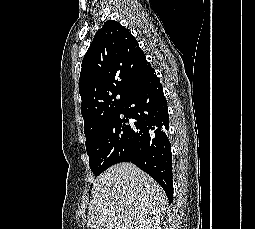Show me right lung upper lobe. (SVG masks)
Wrapping results in <instances>:
<instances>
[{"label":"right lung upper lobe","instance_id":"cb5924a9","mask_svg":"<svg viewBox=\"0 0 255 229\" xmlns=\"http://www.w3.org/2000/svg\"><path fill=\"white\" fill-rule=\"evenodd\" d=\"M150 67L131 33L117 21L105 22L95 34L80 72L86 139L103 122L124 109L135 81Z\"/></svg>","mask_w":255,"mask_h":229}]
</instances>
